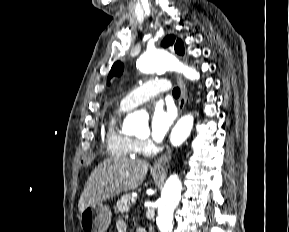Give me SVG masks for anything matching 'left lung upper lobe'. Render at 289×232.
<instances>
[{"mask_svg": "<svg viewBox=\"0 0 289 232\" xmlns=\"http://www.w3.org/2000/svg\"><path fill=\"white\" fill-rule=\"evenodd\" d=\"M161 45L165 48L169 46H174L176 53H178L179 55L184 54V47L182 41L180 39L176 40L174 35L166 36L162 41ZM122 72H123V64L121 62L114 63L108 75L107 81L109 82V80L113 76H120Z\"/></svg>", "mask_w": 289, "mask_h": 232, "instance_id": "left-lung-upper-lobe-1", "label": "left lung upper lobe"}]
</instances>
